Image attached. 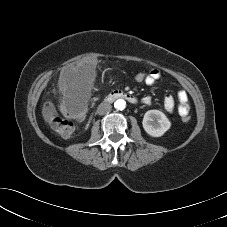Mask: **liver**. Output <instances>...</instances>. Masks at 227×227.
Instances as JSON below:
<instances>
[{
  "instance_id": "liver-1",
  "label": "liver",
  "mask_w": 227,
  "mask_h": 227,
  "mask_svg": "<svg viewBox=\"0 0 227 227\" xmlns=\"http://www.w3.org/2000/svg\"><path fill=\"white\" fill-rule=\"evenodd\" d=\"M95 64L80 63L76 67H70L61 73L59 78V87L64 93H67L70 89L83 79V73L87 69L94 70Z\"/></svg>"
}]
</instances>
